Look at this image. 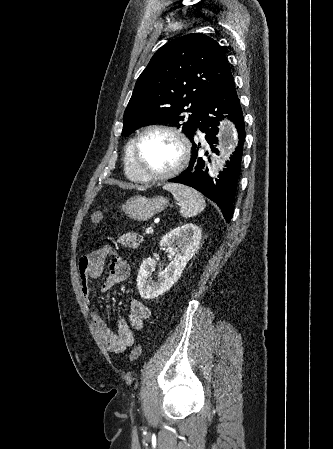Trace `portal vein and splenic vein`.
Masks as SVG:
<instances>
[{
    "label": "portal vein and splenic vein",
    "instance_id": "obj_1",
    "mask_svg": "<svg viewBox=\"0 0 333 449\" xmlns=\"http://www.w3.org/2000/svg\"><path fill=\"white\" fill-rule=\"evenodd\" d=\"M153 232V228L152 227H148V228H146V230H145V233L146 234H150V233H152Z\"/></svg>",
    "mask_w": 333,
    "mask_h": 449
}]
</instances>
